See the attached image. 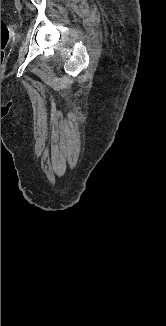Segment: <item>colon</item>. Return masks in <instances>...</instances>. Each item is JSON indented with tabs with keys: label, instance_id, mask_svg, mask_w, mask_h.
Here are the masks:
<instances>
[{
	"label": "colon",
	"instance_id": "5ec220e1",
	"mask_svg": "<svg viewBox=\"0 0 166 326\" xmlns=\"http://www.w3.org/2000/svg\"><path fill=\"white\" fill-rule=\"evenodd\" d=\"M9 40V31L6 23L1 19V65H3L5 53L4 50Z\"/></svg>",
	"mask_w": 166,
	"mask_h": 326
}]
</instances>
